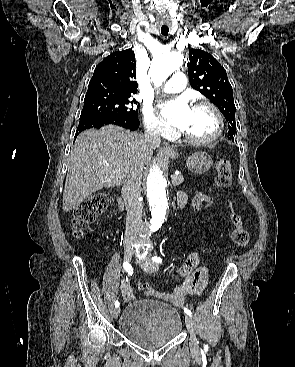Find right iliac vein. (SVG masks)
I'll use <instances>...</instances> for the list:
<instances>
[{
	"instance_id": "1",
	"label": "right iliac vein",
	"mask_w": 295,
	"mask_h": 367,
	"mask_svg": "<svg viewBox=\"0 0 295 367\" xmlns=\"http://www.w3.org/2000/svg\"><path fill=\"white\" fill-rule=\"evenodd\" d=\"M132 256H133L132 250L126 249L125 252H124V260H125V262H129L131 260ZM119 313H120V308L119 307H115L114 310H113V313H112L113 314V317L115 319H117L118 316H119Z\"/></svg>"
}]
</instances>
